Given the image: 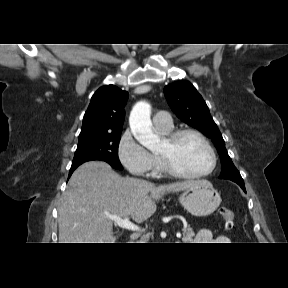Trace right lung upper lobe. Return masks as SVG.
I'll use <instances>...</instances> for the list:
<instances>
[{
    "instance_id": "right-lung-upper-lobe-1",
    "label": "right lung upper lobe",
    "mask_w": 288,
    "mask_h": 288,
    "mask_svg": "<svg viewBox=\"0 0 288 288\" xmlns=\"http://www.w3.org/2000/svg\"><path fill=\"white\" fill-rule=\"evenodd\" d=\"M128 93L114 85L100 87L85 112L79 140L122 131Z\"/></svg>"
}]
</instances>
